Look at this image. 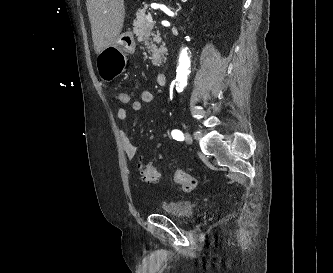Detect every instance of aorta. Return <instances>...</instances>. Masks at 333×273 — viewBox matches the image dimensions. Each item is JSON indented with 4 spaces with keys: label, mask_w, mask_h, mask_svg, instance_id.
Here are the masks:
<instances>
[{
    "label": "aorta",
    "mask_w": 333,
    "mask_h": 273,
    "mask_svg": "<svg viewBox=\"0 0 333 273\" xmlns=\"http://www.w3.org/2000/svg\"><path fill=\"white\" fill-rule=\"evenodd\" d=\"M190 64L191 62L190 57L188 56V49L182 48L179 54V62L177 68L178 90H182L187 85Z\"/></svg>",
    "instance_id": "obj_1"
}]
</instances>
